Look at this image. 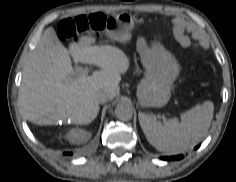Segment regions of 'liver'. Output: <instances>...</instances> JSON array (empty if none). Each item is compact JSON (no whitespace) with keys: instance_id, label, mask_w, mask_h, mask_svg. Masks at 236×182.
Listing matches in <instances>:
<instances>
[{"instance_id":"1","label":"liver","mask_w":236,"mask_h":182,"mask_svg":"<svg viewBox=\"0 0 236 182\" xmlns=\"http://www.w3.org/2000/svg\"><path fill=\"white\" fill-rule=\"evenodd\" d=\"M70 55L76 62L101 69L91 76L72 77ZM129 65V58L118 47L92 45L83 37L67 49L54 29L48 28L23 69L19 91L23 115L38 125H52L57 120L89 124L99 113L97 93L109 90L113 99L119 92L121 74Z\"/></svg>"}]
</instances>
